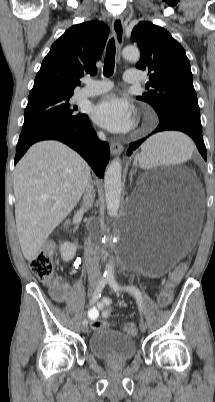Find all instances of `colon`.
Listing matches in <instances>:
<instances>
[{
    "label": "colon",
    "mask_w": 215,
    "mask_h": 402,
    "mask_svg": "<svg viewBox=\"0 0 215 402\" xmlns=\"http://www.w3.org/2000/svg\"><path fill=\"white\" fill-rule=\"evenodd\" d=\"M53 247L54 244L52 242L46 244L42 251L30 261V268L40 281L46 284H52L51 295L53 298L56 300H62L63 289L61 285L59 283H53L54 264L51 255ZM185 270L186 264L181 263L172 272L170 277L171 280L166 283L165 288L161 290L158 297V302L162 307H166L170 304L172 300L173 283L180 280ZM104 326L105 323L100 320L93 322V327L95 329H100ZM124 331L129 336H136L138 333L137 326L134 323L125 324Z\"/></svg>",
    "instance_id": "obj_1"
}]
</instances>
